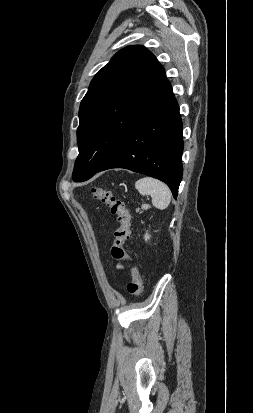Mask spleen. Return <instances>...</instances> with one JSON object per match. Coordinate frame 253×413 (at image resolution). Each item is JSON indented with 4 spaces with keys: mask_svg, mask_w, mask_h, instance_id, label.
I'll list each match as a JSON object with an SVG mask.
<instances>
[{
    "mask_svg": "<svg viewBox=\"0 0 253 413\" xmlns=\"http://www.w3.org/2000/svg\"><path fill=\"white\" fill-rule=\"evenodd\" d=\"M135 187L141 195H150L152 204L157 209L167 208L171 201V192L168 186L160 180L144 177L136 181Z\"/></svg>",
    "mask_w": 253,
    "mask_h": 413,
    "instance_id": "1",
    "label": "spleen"
}]
</instances>
